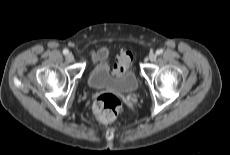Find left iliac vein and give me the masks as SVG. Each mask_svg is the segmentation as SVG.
Returning <instances> with one entry per match:
<instances>
[{
	"label": "left iliac vein",
	"mask_w": 230,
	"mask_h": 155,
	"mask_svg": "<svg viewBox=\"0 0 230 155\" xmlns=\"http://www.w3.org/2000/svg\"><path fill=\"white\" fill-rule=\"evenodd\" d=\"M156 59H157V55H156L155 53H151V54L149 55V60H150L151 62H155Z\"/></svg>",
	"instance_id": "left-iliac-vein-1"
}]
</instances>
